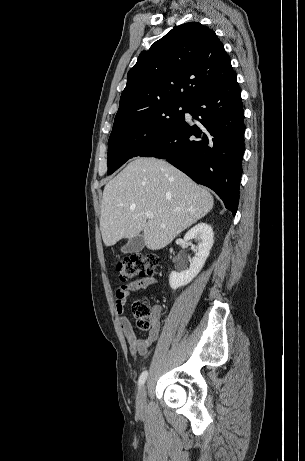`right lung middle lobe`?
Segmentation results:
<instances>
[{"mask_svg":"<svg viewBox=\"0 0 305 461\" xmlns=\"http://www.w3.org/2000/svg\"><path fill=\"white\" fill-rule=\"evenodd\" d=\"M189 104L159 105L114 123L108 141V175L127 160L164 141L184 121Z\"/></svg>","mask_w":305,"mask_h":461,"instance_id":"right-lung-middle-lobe-1","label":"right lung middle lobe"}]
</instances>
